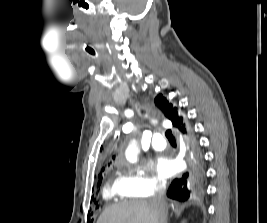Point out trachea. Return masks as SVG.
Masks as SVG:
<instances>
[{
	"label": "trachea",
	"mask_w": 267,
	"mask_h": 223,
	"mask_svg": "<svg viewBox=\"0 0 267 223\" xmlns=\"http://www.w3.org/2000/svg\"><path fill=\"white\" fill-rule=\"evenodd\" d=\"M165 136H166V138L168 139V141H169L170 143H175V137L173 136L171 130H167V131L165 132Z\"/></svg>",
	"instance_id": "trachea-1"
}]
</instances>
